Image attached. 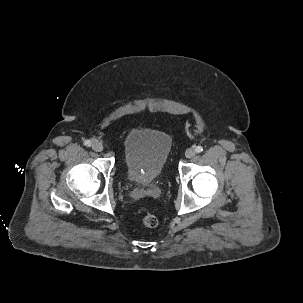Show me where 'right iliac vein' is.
Segmentation results:
<instances>
[{"mask_svg":"<svg viewBox=\"0 0 303 303\" xmlns=\"http://www.w3.org/2000/svg\"><path fill=\"white\" fill-rule=\"evenodd\" d=\"M92 149L96 152H101L103 150V145L99 142H93Z\"/></svg>","mask_w":303,"mask_h":303,"instance_id":"63e3f726","label":"right iliac vein"}]
</instances>
